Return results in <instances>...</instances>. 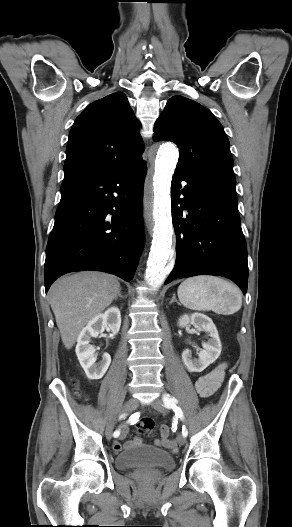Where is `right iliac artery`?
I'll return each instance as SVG.
<instances>
[{"label":"right iliac artery","instance_id":"82829eb1","mask_svg":"<svg viewBox=\"0 0 292 527\" xmlns=\"http://www.w3.org/2000/svg\"><path fill=\"white\" fill-rule=\"evenodd\" d=\"M125 418V417H124ZM120 419V417H119ZM138 424V419H137V415L135 413H132V416L128 419H126V422H125V425H127V427H135L136 425ZM120 435V431L119 430H116L113 434L114 437H118Z\"/></svg>","mask_w":292,"mask_h":527}]
</instances>
